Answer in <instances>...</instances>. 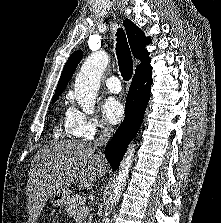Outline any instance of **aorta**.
<instances>
[{"mask_svg":"<svg viewBox=\"0 0 221 223\" xmlns=\"http://www.w3.org/2000/svg\"><path fill=\"white\" fill-rule=\"evenodd\" d=\"M109 63L107 53L100 51L91 54L83 63L75 79V98L78 105L87 114L94 113L95 101L100 87L101 77ZM135 147L131 144L123 158L114 184L111 205L118 202L124 189L129 170L133 163ZM109 222V219H106Z\"/></svg>","mask_w":221,"mask_h":223,"instance_id":"762f6f07","label":"aorta"}]
</instances>
